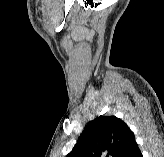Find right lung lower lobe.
I'll list each match as a JSON object with an SVG mask.
<instances>
[{
  "instance_id": "right-lung-lower-lobe-1",
  "label": "right lung lower lobe",
  "mask_w": 164,
  "mask_h": 157,
  "mask_svg": "<svg viewBox=\"0 0 164 157\" xmlns=\"http://www.w3.org/2000/svg\"><path fill=\"white\" fill-rule=\"evenodd\" d=\"M122 157H142V154L135 140L129 145Z\"/></svg>"
}]
</instances>
